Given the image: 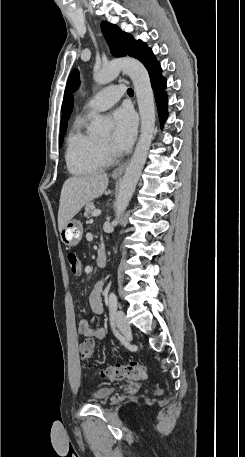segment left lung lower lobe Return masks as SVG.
I'll return each instance as SVG.
<instances>
[{
	"label": "left lung lower lobe",
	"mask_w": 245,
	"mask_h": 457,
	"mask_svg": "<svg viewBox=\"0 0 245 457\" xmlns=\"http://www.w3.org/2000/svg\"><path fill=\"white\" fill-rule=\"evenodd\" d=\"M147 68L152 88L154 90L156 104L158 107V115L161 126H163L168 113H167V94L164 91L166 88V80L161 75V67L152 52L147 54L140 60Z\"/></svg>",
	"instance_id": "0a47b994"
}]
</instances>
